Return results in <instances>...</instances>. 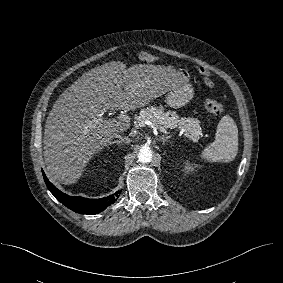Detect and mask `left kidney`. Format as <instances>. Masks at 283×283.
Here are the masks:
<instances>
[{"label":"left kidney","instance_id":"5707ae66","mask_svg":"<svg viewBox=\"0 0 283 283\" xmlns=\"http://www.w3.org/2000/svg\"><path fill=\"white\" fill-rule=\"evenodd\" d=\"M184 168L188 171H192L193 167L191 166L190 163L186 162L185 165H184Z\"/></svg>","mask_w":283,"mask_h":283}]
</instances>
